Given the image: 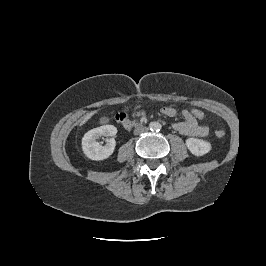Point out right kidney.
Listing matches in <instances>:
<instances>
[{"label":"right kidney","instance_id":"obj_1","mask_svg":"<svg viewBox=\"0 0 266 266\" xmlns=\"http://www.w3.org/2000/svg\"><path fill=\"white\" fill-rule=\"evenodd\" d=\"M117 133L113 125H103L88 131L82 139L84 154L91 160L107 159L114 152L116 142L113 136ZM101 136L112 137L107 139L105 145H100L97 139Z\"/></svg>","mask_w":266,"mask_h":266}]
</instances>
